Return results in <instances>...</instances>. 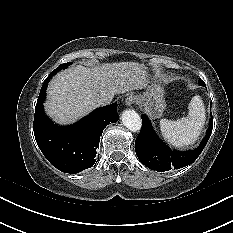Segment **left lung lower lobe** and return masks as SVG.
<instances>
[{
	"instance_id": "obj_1",
	"label": "left lung lower lobe",
	"mask_w": 233,
	"mask_h": 233,
	"mask_svg": "<svg viewBox=\"0 0 233 233\" xmlns=\"http://www.w3.org/2000/svg\"><path fill=\"white\" fill-rule=\"evenodd\" d=\"M141 117L142 129L135 141V151L142 164L151 170L159 172L168 171L173 168L179 169L193 163L206 146L213 128L211 114L209 128L199 147L184 152L173 151L155 134L147 116L143 114Z\"/></svg>"
}]
</instances>
